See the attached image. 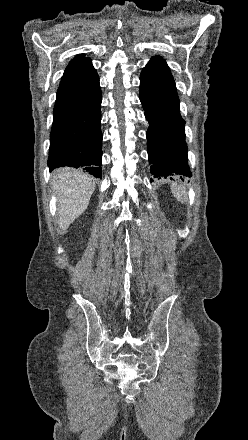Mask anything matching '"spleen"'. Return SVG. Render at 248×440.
<instances>
[{"mask_svg": "<svg viewBox=\"0 0 248 440\" xmlns=\"http://www.w3.org/2000/svg\"><path fill=\"white\" fill-rule=\"evenodd\" d=\"M171 191H172L174 197L178 201H180L181 203L186 202V200H187V193H186L185 187H183L181 185L173 184L171 186Z\"/></svg>", "mask_w": 248, "mask_h": 440, "instance_id": "1", "label": "spleen"}]
</instances>
